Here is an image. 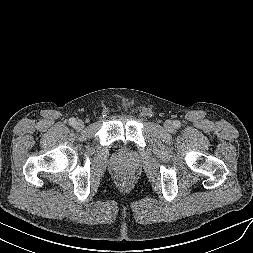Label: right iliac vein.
Returning a JSON list of instances; mask_svg holds the SVG:
<instances>
[{"label": "right iliac vein", "mask_w": 253, "mask_h": 253, "mask_svg": "<svg viewBox=\"0 0 253 253\" xmlns=\"http://www.w3.org/2000/svg\"><path fill=\"white\" fill-rule=\"evenodd\" d=\"M77 130H81L84 128V123L81 120H78L75 124Z\"/></svg>", "instance_id": "obj_1"}]
</instances>
